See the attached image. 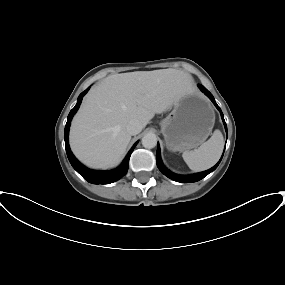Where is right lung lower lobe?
<instances>
[{"label":"right lung lower lobe","instance_id":"obj_1","mask_svg":"<svg viewBox=\"0 0 285 285\" xmlns=\"http://www.w3.org/2000/svg\"><path fill=\"white\" fill-rule=\"evenodd\" d=\"M90 88V87H89ZM89 88H87L84 92H82L77 100V104L75 105V107L70 111L69 115H68V119H67V123L65 126V131H64V139H65V148H66V153L68 156V159L71 163V165L73 166V168L85 179L87 180L89 183H94V184H109L112 182H115L117 180H119L120 178H122L124 175H126L128 168H129V159L131 156V153L134 150V147L136 146V144L131 148V150L129 151V153L127 154V156L125 157L123 163L116 169L111 170V171H94V170H90L87 167L83 166L72 154L70 147H69V143H68V133H69V126H70V122L71 119L73 117V115L76 113V111L78 110L82 98L83 96L87 93V91L89 90Z\"/></svg>","mask_w":285,"mask_h":285}]
</instances>
